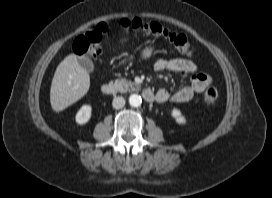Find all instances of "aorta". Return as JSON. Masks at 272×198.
<instances>
[{"instance_id":"1","label":"aorta","mask_w":272,"mask_h":198,"mask_svg":"<svg viewBox=\"0 0 272 198\" xmlns=\"http://www.w3.org/2000/svg\"><path fill=\"white\" fill-rule=\"evenodd\" d=\"M142 103V98L140 95L138 94H132L130 95L129 97V104L132 106V107H138L140 106Z\"/></svg>"}]
</instances>
